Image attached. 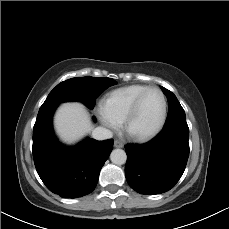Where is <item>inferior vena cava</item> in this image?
<instances>
[{"instance_id":"obj_1","label":"inferior vena cava","mask_w":229,"mask_h":229,"mask_svg":"<svg viewBox=\"0 0 229 229\" xmlns=\"http://www.w3.org/2000/svg\"><path fill=\"white\" fill-rule=\"evenodd\" d=\"M113 133L104 127H96L92 132V137L96 140H105L112 138Z\"/></svg>"}]
</instances>
